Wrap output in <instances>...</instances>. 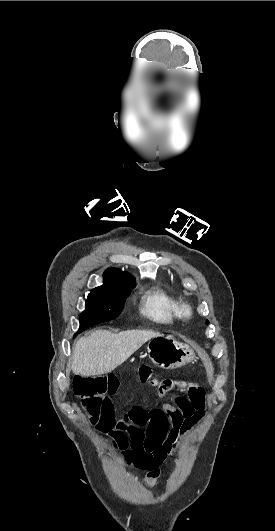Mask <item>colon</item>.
Masks as SVG:
<instances>
[{
	"label": "colon",
	"instance_id": "colon-1",
	"mask_svg": "<svg viewBox=\"0 0 275 531\" xmlns=\"http://www.w3.org/2000/svg\"><path fill=\"white\" fill-rule=\"evenodd\" d=\"M96 376L94 374H79L72 380V387L77 391V397L81 401H87V409L84 412V419L89 424H96L101 419L102 406L100 399L107 389L108 378ZM160 391L154 394V399L157 402H162L165 399L163 392H171L178 389L177 383L171 381H161L159 384Z\"/></svg>",
	"mask_w": 275,
	"mask_h": 531
}]
</instances>
